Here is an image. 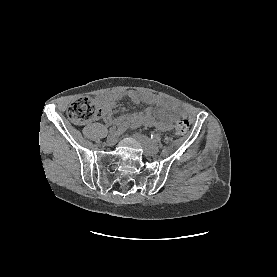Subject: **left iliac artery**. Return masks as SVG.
Returning <instances> with one entry per match:
<instances>
[{
  "label": "left iliac artery",
  "mask_w": 277,
  "mask_h": 277,
  "mask_svg": "<svg viewBox=\"0 0 277 277\" xmlns=\"http://www.w3.org/2000/svg\"><path fill=\"white\" fill-rule=\"evenodd\" d=\"M151 139L155 142H160L161 141V137L158 133H151Z\"/></svg>",
  "instance_id": "left-iliac-artery-1"
}]
</instances>
